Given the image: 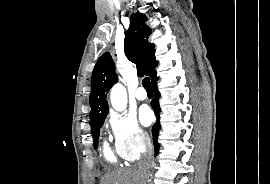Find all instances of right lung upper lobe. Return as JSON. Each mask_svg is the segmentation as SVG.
<instances>
[{
	"mask_svg": "<svg viewBox=\"0 0 270 184\" xmlns=\"http://www.w3.org/2000/svg\"><path fill=\"white\" fill-rule=\"evenodd\" d=\"M146 19L142 13H133L130 16V26L124 40V51L126 57L137 65L138 75H149L153 80L156 77L154 69L157 61L154 57V45L148 43L151 29L146 26ZM117 81L114 62L110 53L106 52L98 59L92 73L90 125L105 120L108 114L106 93Z\"/></svg>",
	"mask_w": 270,
	"mask_h": 184,
	"instance_id": "obj_1",
	"label": "right lung upper lobe"
}]
</instances>
